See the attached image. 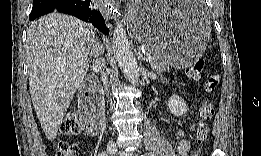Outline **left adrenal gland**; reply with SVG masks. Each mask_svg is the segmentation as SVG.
Instances as JSON below:
<instances>
[{
    "mask_svg": "<svg viewBox=\"0 0 261 156\" xmlns=\"http://www.w3.org/2000/svg\"><path fill=\"white\" fill-rule=\"evenodd\" d=\"M139 59L141 60V61H145V58H144V56L139 52Z\"/></svg>",
    "mask_w": 261,
    "mask_h": 156,
    "instance_id": "a2214340",
    "label": "left adrenal gland"
}]
</instances>
